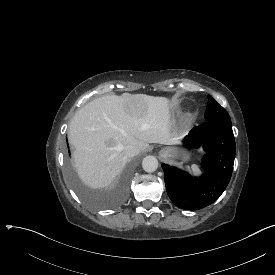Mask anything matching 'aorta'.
<instances>
[{"label": "aorta", "instance_id": "aorta-1", "mask_svg": "<svg viewBox=\"0 0 275 275\" xmlns=\"http://www.w3.org/2000/svg\"><path fill=\"white\" fill-rule=\"evenodd\" d=\"M142 166L146 172H154L158 168V160L155 156L148 155L143 159Z\"/></svg>", "mask_w": 275, "mask_h": 275}]
</instances>
